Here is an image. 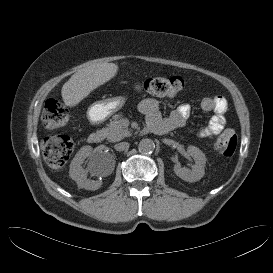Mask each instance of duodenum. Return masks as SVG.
<instances>
[{"label": "duodenum", "mask_w": 273, "mask_h": 273, "mask_svg": "<svg viewBox=\"0 0 273 273\" xmlns=\"http://www.w3.org/2000/svg\"><path fill=\"white\" fill-rule=\"evenodd\" d=\"M147 130L156 135H164L170 131L169 124L166 120L158 118L147 123ZM104 134L101 131H95L89 135V141L93 144L101 143Z\"/></svg>", "instance_id": "duodenum-1"}]
</instances>
